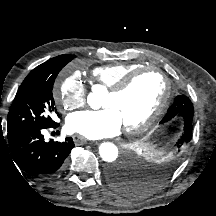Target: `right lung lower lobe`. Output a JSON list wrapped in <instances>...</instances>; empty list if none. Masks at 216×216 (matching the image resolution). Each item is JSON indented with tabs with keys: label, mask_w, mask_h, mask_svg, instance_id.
Here are the masks:
<instances>
[{
	"label": "right lung lower lobe",
	"mask_w": 216,
	"mask_h": 216,
	"mask_svg": "<svg viewBox=\"0 0 216 216\" xmlns=\"http://www.w3.org/2000/svg\"><path fill=\"white\" fill-rule=\"evenodd\" d=\"M58 126L55 123L51 127ZM42 129L45 128L16 131L8 134L7 139L11 155L22 170L36 178L49 179L64 169L66 158L75 145L71 137L63 142H45Z\"/></svg>",
	"instance_id": "right-lung-lower-lobe-1"
}]
</instances>
